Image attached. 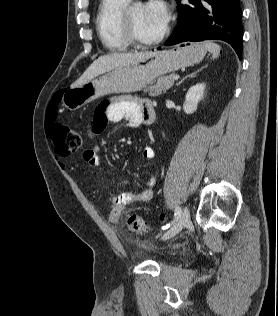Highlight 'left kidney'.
<instances>
[{
  "instance_id": "obj_1",
  "label": "left kidney",
  "mask_w": 278,
  "mask_h": 316,
  "mask_svg": "<svg viewBox=\"0 0 278 316\" xmlns=\"http://www.w3.org/2000/svg\"><path fill=\"white\" fill-rule=\"evenodd\" d=\"M205 84L199 83L192 86L186 96L183 109L186 114H192L197 110L199 101L203 98Z\"/></svg>"
}]
</instances>
